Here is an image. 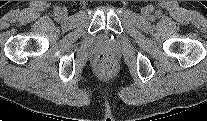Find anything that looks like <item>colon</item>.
Instances as JSON below:
<instances>
[{
	"instance_id": "5ec220e1",
	"label": "colon",
	"mask_w": 207,
	"mask_h": 121,
	"mask_svg": "<svg viewBox=\"0 0 207 121\" xmlns=\"http://www.w3.org/2000/svg\"><path fill=\"white\" fill-rule=\"evenodd\" d=\"M95 65L99 72L110 73L116 67V59L111 53H101L96 57Z\"/></svg>"
}]
</instances>
